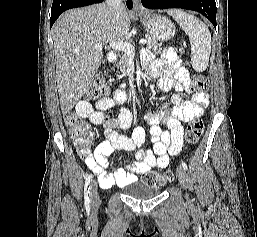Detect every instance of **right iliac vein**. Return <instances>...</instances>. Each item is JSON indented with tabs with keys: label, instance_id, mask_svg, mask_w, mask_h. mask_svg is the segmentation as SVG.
Here are the masks:
<instances>
[{
	"label": "right iliac vein",
	"instance_id": "right-iliac-vein-1",
	"mask_svg": "<svg viewBox=\"0 0 257 237\" xmlns=\"http://www.w3.org/2000/svg\"><path fill=\"white\" fill-rule=\"evenodd\" d=\"M90 197H91V204L92 207H95L99 204L100 198L98 194V185L96 181H93L90 187Z\"/></svg>",
	"mask_w": 257,
	"mask_h": 237
}]
</instances>
